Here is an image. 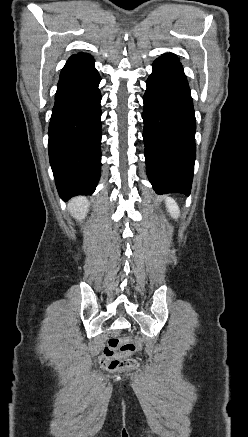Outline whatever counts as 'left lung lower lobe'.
<instances>
[{
	"mask_svg": "<svg viewBox=\"0 0 248 437\" xmlns=\"http://www.w3.org/2000/svg\"><path fill=\"white\" fill-rule=\"evenodd\" d=\"M143 97L146 171L158 194H190L196 156L193 101L181 63L159 57Z\"/></svg>",
	"mask_w": 248,
	"mask_h": 437,
	"instance_id": "left-lung-lower-lobe-1",
	"label": "left lung lower lobe"
}]
</instances>
